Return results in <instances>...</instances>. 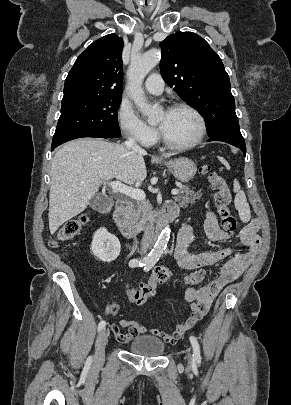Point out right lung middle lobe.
Returning a JSON list of instances; mask_svg holds the SVG:
<instances>
[{
  "instance_id": "dd1d6c3e",
  "label": "right lung middle lobe",
  "mask_w": 291,
  "mask_h": 405,
  "mask_svg": "<svg viewBox=\"0 0 291 405\" xmlns=\"http://www.w3.org/2000/svg\"><path fill=\"white\" fill-rule=\"evenodd\" d=\"M121 99L102 97L62 102L52 147L82 137H120L117 112Z\"/></svg>"
}]
</instances>
